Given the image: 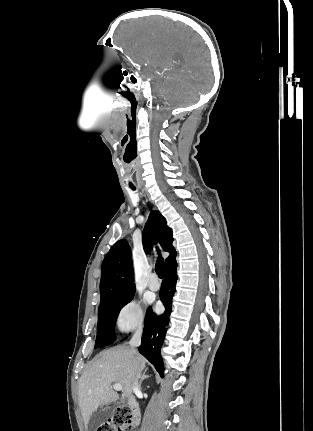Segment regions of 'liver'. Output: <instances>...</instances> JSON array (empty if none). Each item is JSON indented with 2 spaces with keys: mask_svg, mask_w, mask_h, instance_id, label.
Here are the masks:
<instances>
[{
  "mask_svg": "<svg viewBox=\"0 0 313 431\" xmlns=\"http://www.w3.org/2000/svg\"><path fill=\"white\" fill-rule=\"evenodd\" d=\"M146 360L128 346H116L98 354L78 381V401L87 427L99 406L119 398L112 383L122 385V398L132 393L133 382L145 368Z\"/></svg>",
  "mask_w": 313,
  "mask_h": 431,
  "instance_id": "liver-1",
  "label": "liver"
}]
</instances>
